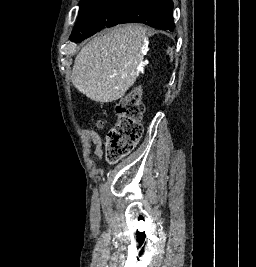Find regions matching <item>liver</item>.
Here are the masks:
<instances>
[{
  "mask_svg": "<svg viewBox=\"0 0 256 267\" xmlns=\"http://www.w3.org/2000/svg\"><path fill=\"white\" fill-rule=\"evenodd\" d=\"M145 38L141 24H121L99 34L77 54L73 86L94 102L119 100L136 82Z\"/></svg>",
  "mask_w": 256,
  "mask_h": 267,
  "instance_id": "1",
  "label": "liver"
}]
</instances>
